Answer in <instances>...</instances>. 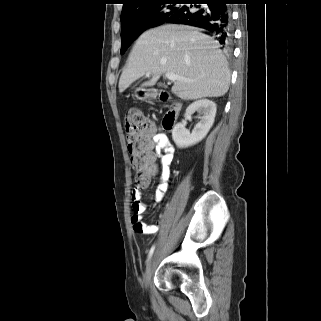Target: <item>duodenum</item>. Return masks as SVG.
Masks as SVG:
<instances>
[{"label":"duodenum","mask_w":321,"mask_h":321,"mask_svg":"<svg viewBox=\"0 0 321 321\" xmlns=\"http://www.w3.org/2000/svg\"><path fill=\"white\" fill-rule=\"evenodd\" d=\"M158 97L164 101L170 99L169 95L163 91L158 93ZM180 109H181V104L178 101H173L171 105V109L167 112L163 120V125L166 129L173 128L177 120V117L179 115Z\"/></svg>","instance_id":"duodenum-1"}]
</instances>
